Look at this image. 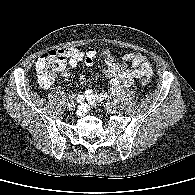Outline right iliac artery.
Segmentation results:
<instances>
[{"label": "right iliac artery", "instance_id": "right-iliac-artery-1", "mask_svg": "<svg viewBox=\"0 0 195 195\" xmlns=\"http://www.w3.org/2000/svg\"><path fill=\"white\" fill-rule=\"evenodd\" d=\"M69 98H70V99H74L75 96H74V95H70Z\"/></svg>", "mask_w": 195, "mask_h": 195}]
</instances>
